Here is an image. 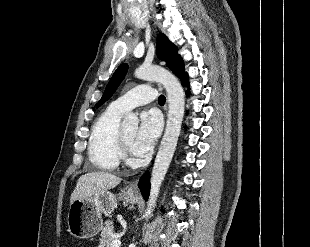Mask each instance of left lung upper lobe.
Here are the masks:
<instances>
[{
	"label": "left lung upper lobe",
	"mask_w": 310,
	"mask_h": 247,
	"mask_svg": "<svg viewBox=\"0 0 310 247\" xmlns=\"http://www.w3.org/2000/svg\"><path fill=\"white\" fill-rule=\"evenodd\" d=\"M156 54L159 59L164 60L167 66L179 77L184 72V63L180 55L177 54V48L172 44L164 34H159L157 37ZM128 70L127 64L120 65L114 72L110 82L108 83L105 92L97 104V107L106 102L115 92L121 81L124 79Z\"/></svg>",
	"instance_id": "1"
}]
</instances>
